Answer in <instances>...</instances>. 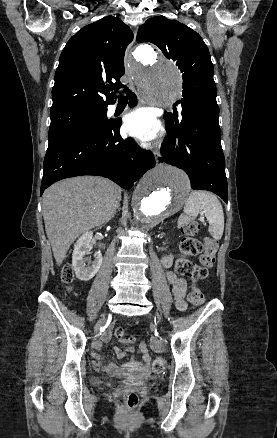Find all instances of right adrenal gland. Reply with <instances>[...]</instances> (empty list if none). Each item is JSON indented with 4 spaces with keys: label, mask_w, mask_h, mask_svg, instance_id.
Returning <instances> with one entry per match:
<instances>
[{
    "label": "right adrenal gland",
    "mask_w": 277,
    "mask_h": 438,
    "mask_svg": "<svg viewBox=\"0 0 277 438\" xmlns=\"http://www.w3.org/2000/svg\"><path fill=\"white\" fill-rule=\"evenodd\" d=\"M120 210H121V208H119V206H118V208H117V212H120Z\"/></svg>",
    "instance_id": "obj_1"
}]
</instances>
